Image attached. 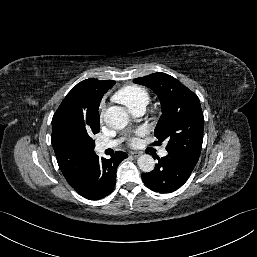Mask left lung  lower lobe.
<instances>
[{"mask_svg":"<svg viewBox=\"0 0 257 257\" xmlns=\"http://www.w3.org/2000/svg\"><path fill=\"white\" fill-rule=\"evenodd\" d=\"M153 171L142 174V180L152 191L170 193L180 188L191 175L197 161L178 154L168 152V155L158 158Z\"/></svg>","mask_w":257,"mask_h":257,"instance_id":"left-lung-lower-lobe-1","label":"left lung lower lobe"}]
</instances>
